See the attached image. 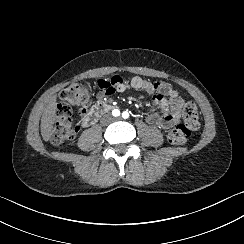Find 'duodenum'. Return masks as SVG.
I'll return each mask as SVG.
<instances>
[{
  "label": "duodenum",
  "mask_w": 244,
  "mask_h": 244,
  "mask_svg": "<svg viewBox=\"0 0 244 244\" xmlns=\"http://www.w3.org/2000/svg\"><path fill=\"white\" fill-rule=\"evenodd\" d=\"M113 109V105L107 102L99 101L90 110L88 123L93 124L104 113Z\"/></svg>",
  "instance_id": "410a0bca"
}]
</instances>
